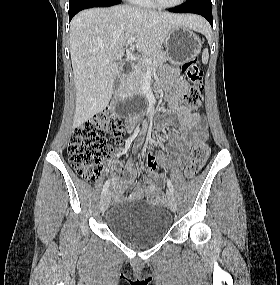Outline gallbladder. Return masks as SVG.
I'll use <instances>...</instances> for the list:
<instances>
[{"label":"gallbladder","mask_w":280,"mask_h":285,"mask_svg":"<svg viewBox=\"0 0 280 285\" xmlns=\"http://www.w3.org/2000/svg\"><path fill=\"white\" fill-rule=\"evenodd\" d=\"M120 88V76L118 75L114 81V90L117 91Z\"/></svg>","instance_id":"gallbladder-1"}]
</instances>
